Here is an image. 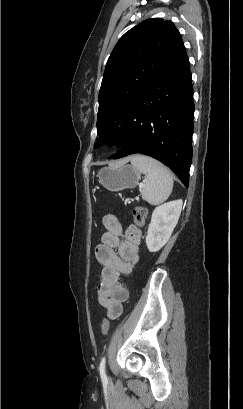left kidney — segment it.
<instances>
[{
    "mask_svg": "<svg viewBox=\"0 0 243 409\" xmlns=\"http://www.w3.org/2000/svg\"><path fill=\"white\" fill-rule=\"evenodd\" d=\"M182 204V200H175L155 208L146 236L150 252L159 251L167 243L180 217Z\"/></svg>",
    "mask_w": 243,
    "mask_h": 409,
    "instance_id": "5707ae66",
    "label": "left kidney"
}]
</instances>
